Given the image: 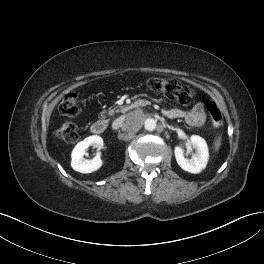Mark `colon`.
Masks as SVG:
<instances>
[{
  "label": "colon",
  "instance_id": "colon-1",
  "mask_svg": "<svg viewBox=\"0 0 264 264\" xmlns=\"http://www.w3.org/2000/svg\"><path fill=\"white\" fill-rule=\"evenodd\" d=\"M148 86L155 92L161 93L180 104L188 105L193 101L194 91L181 85L176 80L154 78L148 81ZM59 111L62 115L74 117L79 112L78 98L75 94H67L60 102ZM208 112L214 127H220L223 122L222 113L215 102L208 103ZM56 136L67 144L78 140V131L75 124L66 122L56 131Z\"/></svg>",
  "mask_w": 264,
  "mask_h": 264
}]
</instances>
